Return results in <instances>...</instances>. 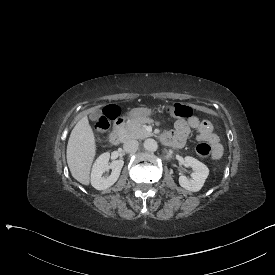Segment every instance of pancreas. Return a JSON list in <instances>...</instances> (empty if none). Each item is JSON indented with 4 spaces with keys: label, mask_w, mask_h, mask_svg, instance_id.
Wrapping results in <instances>:
<instances>
[{
    "label": "pancreas",
    "mask_w": 275,
    "mask_h": 275,
    "mask_svg": "<svg viewBox=\"0 0 275 275\" xmlns=\"http://www.w3.org/2000/svg\"><path fill=\"white\" fill-rule=\"evenodd\" d=\"M153 125L154 123L160 124L159 121H155L149 118L141 119H129L127 122L119 127L118 133L121 142H125L130 139H145L152 136V133L147 132L144 129L145 124Z\"/></svg>",
    "instance_id": "pancreas-1"
}]
</instances>
